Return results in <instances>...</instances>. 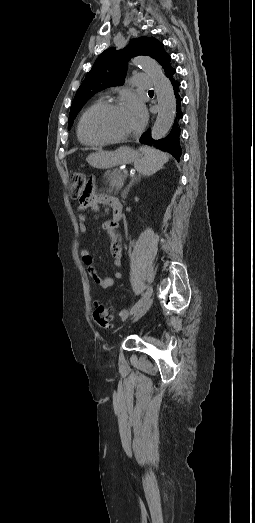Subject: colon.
I'll list each match as a JSON object with an SVG mask.
<instances>
[{"mask_svg": "<svg viewBox=\"0 0 255 523\" xmlns=\"http://www.w3.org/2000/svg\"><path fill=\"white\" fill-rule=\"evenodd\" d=\"M70 182L72 198L85 200L89 197V184L83 173L73 172L70 177ZM93 318L96 324L102 328H111L113 326L110 310L103 304L97 303L93 306Z\"/></svg>", "mask_w": 255, "mask_h": 523, "instance_id": "obj_1", "label": "colon"}]
</instances>
